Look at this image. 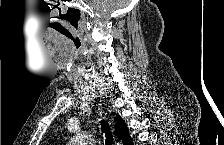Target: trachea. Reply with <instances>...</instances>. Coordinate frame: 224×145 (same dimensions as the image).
<instances>
[{"label": "trachea", "mask_w": 224, "mask_h": 145, "mask_svg": "<svg viewBox=\"0 0 224 145\" xmlns=\"http://www.w3.org/2000/svg\"><path fill=\"white\" fill-rule=\"evenodd\" d=\"M101 129L105 133V144L106 145H112L113 144V135L110 130V126L107 121L101 122Z\"/></svg>", "instance_id": "obj_1"}]
</instances>
